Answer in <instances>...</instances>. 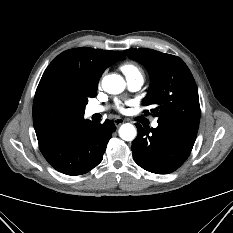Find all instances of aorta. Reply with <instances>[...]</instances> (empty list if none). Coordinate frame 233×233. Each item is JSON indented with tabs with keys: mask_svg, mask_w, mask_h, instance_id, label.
Returning <instances> with one entry per match:
<instances>
[{
	"mask_svg": "<svg viewBox=\"0 0 233 233\" xmlns=\"http://www.w3.org/2000/svg\"><path fill=\"white\" fill-rule=\"evenodd\" d=\"M125 86L126 83L120 75H107L102 80V87L104 91L110 94L121 93ZM119 135L125 141H132L136 136V129L130 123L123 124L119 129Z\"/></svg>",
	"mask_w": 233,
	"mask_h": 233,
	"instance_id": "1",
	"label": "aorta"
}]
</instances>
